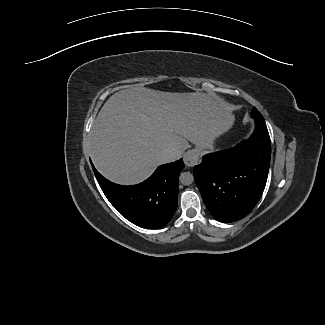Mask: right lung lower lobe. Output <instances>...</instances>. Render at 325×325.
<instances>
[{
    "label": "right lung lower lobe",
    "instance_id": "1",
    "mask_svg": "<svg viewBox=\"0 0 325 325\" xmlns=\"http://www.w3.org/2000/svg\"><path fill=\"white\" fill-rule=\"evenodd\" d=\"M183 160L159 166L143 183L122 186L105 179L93 166L96 179L109 202L130 222L142 228L165 226L178 200V177Z\"/></svg>",
    "mask_w": 325,
    "mask_h": 325
}]
</instances>
